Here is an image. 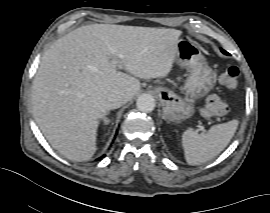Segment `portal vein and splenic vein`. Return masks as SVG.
Segmentation results:
<instances>
[{"label": "portal vein and splenic vein", "instance_id": "portal-vein-and-splenic-vein-1", "mask_svg": "<svg viewBox=\"0 0 270 213\" xmlns=\"http://www.w3.org/2000/svg\"><path fill=\"white\" fill-rule=\"evenodd\" d=\"M200 130L204 131V127H203V126H201V127H200Z\"/></svg>", "mask_w": 270, "mask_h": 213}]
</instances>
